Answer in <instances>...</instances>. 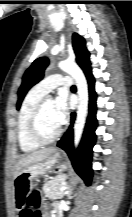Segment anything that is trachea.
<instances>
[{"label": "trachea", "instance_id": "3493384b", "mask_svg": "<svg viewBox=\"0 0 132 217\" xmlns=\"http://www.w3.org/2000/svg\"><path fill=\"white\" fill-rule=\"evenodd\" d=\"M72 88H73V89H75V88H76V86H74V85H73V86H72Z\"/></svg>", "mask_w": 132, "mask_h": 217}]
</instances>
